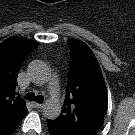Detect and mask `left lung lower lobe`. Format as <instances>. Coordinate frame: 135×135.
Wrapping results in <instances>:
<instances>
[{"label":"left lung lower lobe","instance_id":"obj_1","mask_svg":"<svg viewBox=\"0 0 135 135\" xmlns=\"http://www.w3.org/2000/svg\"><path fill=\"white\" fill-rule=\"evenodd\" d=\"M47 124H48V129L51 135H67L57 130L50 120H47Z\"/></svg>","mask_w":135,"mask_h":135}]
</instances>
